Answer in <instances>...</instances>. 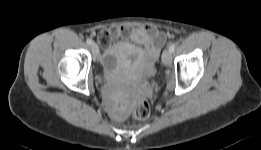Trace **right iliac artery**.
<instances>
[{"mask_svg":"<svg viewBox=\"0 0 261 150\" xmlns=\"http://www.w3.org/2000/svg\"><path fill=\"white\" fill-rule=\"evenodd\" d=\"M86 42H87L88 45L92 44V40L91 39H87Z\"/></svg>","mask_w":261,"mask_h":150,"instance_id":"1","label":"right iliac artery"}]
</instances>
